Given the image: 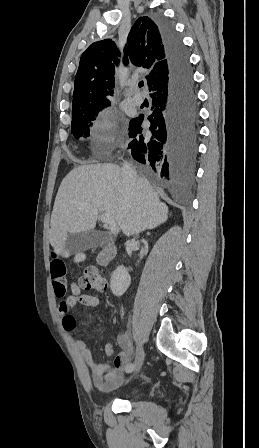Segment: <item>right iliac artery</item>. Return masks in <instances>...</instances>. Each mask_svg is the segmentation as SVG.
Segmentation results:
<instances>
[{
  "label": "right iliac artery",
  "mask_w": 259,
  "mask_h": 448,
  "mask_svg": "<svg viewBox=\"0 0 259 448\" xmlns=\"http://www.w3.org/2000/svg\"><path fill=\"white\" fill-rule=\"evenodd\" d=\"M134 368H135L134 364H129L125 370H126V372L130 373L134 370Z\"/></svg>",
  "instance_id": "1"
}]
</instances>
